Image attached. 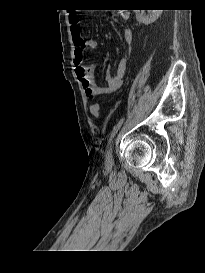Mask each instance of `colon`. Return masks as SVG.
<instances>
[{"mask_svg":"<svg viewBox=\"0 0 205 273\" xmlns=\"http://www.w3.org/2000/svg\"><path fill=\"white\" fill-rule=\"evenodd\" d=\"M90 111L93 116L99 117L101 112L100 105L98 103H93L90 107Z\"/></svg>","mask_w":205,"mask_h":273,"instance_id":"colon-1","label":"colon"}]
</instances>
